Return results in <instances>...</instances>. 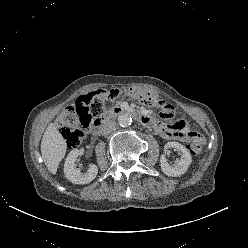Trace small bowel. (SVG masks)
Instances as JSON below:
<instances>
[{
  "mask_svg": "<svg viewBox=\"0 0 248 248\" xmlns=\"http://www.w3.org/2000/svg\"><path fill=\"white\" fill-rule=\"evenodd\" d=\"M155 128L163 138L169 140L188 142L196 138H202L199 133L189 128L185 120H178L170 125L156 122Z\"/></svg>",
  "mask_w": 248,
  "mask_h": 248,
  "instance_id": "obj_1",
  "label": "small bowel"
}]
</instances>
